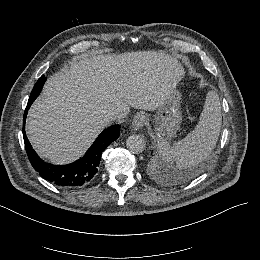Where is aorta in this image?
Instances as JSON below:
<instances>
[{
    "instance_id": "1",
    "label": "aorta",
    "mask_w": 260,
    "mask_h": 260,
    "mask_svg": "<svg viewBox=\"0 0 260 260\" xmlns=\"http://www.w3.org/2000/svg\"><path fill=\"white\" fill-rule=\"evenodd\" d=\"M126 146L132 153H141L144 151L146 141L141 135H131L126 141Z\"/></svg>"
}]
</instances>
